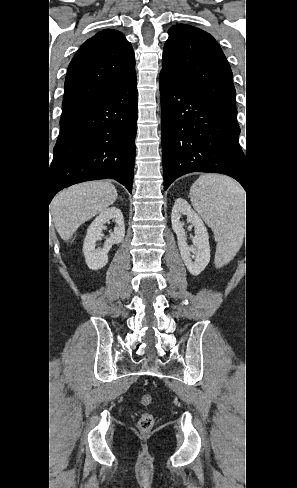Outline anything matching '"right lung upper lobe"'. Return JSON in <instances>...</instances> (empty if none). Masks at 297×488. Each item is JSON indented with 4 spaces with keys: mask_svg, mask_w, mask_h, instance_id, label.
Returning a JSON list of instances; mask_svg holds the SVG:
<instances>
[{
    "mask_svg": "<svg viewBox=\"0 0 297 488\" xmlns=\"http://www.w3.org/2000/svg\"><path fill=\"white\" fill-rule=\"evenodd\" d=\"M134 76L130 42L114 29L98 32L83 43L69 64L61 118L106 96Z\"/></svg>",
    "mask_w": 297,
    "mask_h": 488,
    "instance_id": "right-lung-upper-lobe-1",
    "label": "right lung upper lobe"
}]
</instances>
